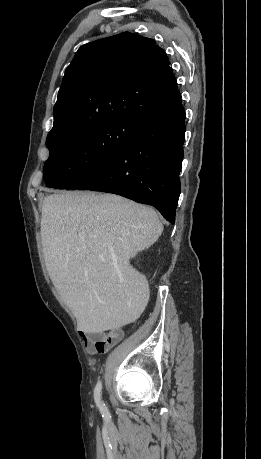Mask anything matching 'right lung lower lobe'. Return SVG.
Masks as SVG:
<instances>
[{
	"label": "right lung lower lobe",
	"instance_id": "98d812e1",
	"mask_svg": "<svg viewBox=\"0 0 261 459\" xmlns=\"http://www.w3.org/2000/svg\"><path fill=\"white\" fill-rule=\"evenodd\" d=\"M184 137L185 111L180 102L143 124L122 151L71 188L114 193L152 205L174 223Z\"/></svg>",
	"mask_w": 261,
	"mask_h": 459
}]
</instances>
